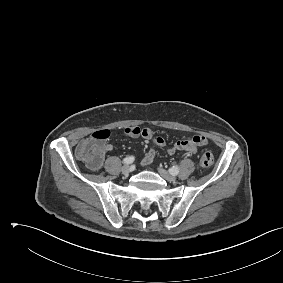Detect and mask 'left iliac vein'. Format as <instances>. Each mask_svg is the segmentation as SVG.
Returning <instances> with one entry per match:
<instances>
[{"instance_id": "1", "label": "left iliac vein", "mask_w": 283, "mask_h": 283, "mask_svg": "<svg viewBox=\"0 0 283 283\" xmlns=\"http://www.w3.org/2000/svg\"><path fill=\"white\" fill-rule=\"evenodd\" d=\"M158 172L159 174L164 178L166 179L167 181L169 182H174L176 181V176L169 173L168 171H166L165 169L163 168H158Z\"/></svg>"}]
</instances>
